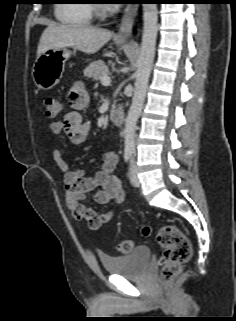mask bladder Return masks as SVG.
Segmentation results:
<instances>
[{
    "instance_id": "1",
    "label": "bladder",
    "mask_w": 236,
    "mask_h": 321,
    "mask_svg": "<svg viewBox=\"0 0 236 321\" xmlns=\"http://www.w3.org/2000/svg\"><path fill=\"white\" fill-rule=\"evenodd\" d=\"M151 258L147 245H139L133 251L120 256H102L100 258L106 272L126 278L142 276Z\"/></svg>"
}]
</instances>
